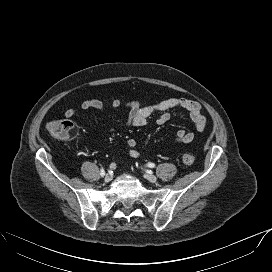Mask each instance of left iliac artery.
<instances>
[{
  "label": "left iliac artery",
  "mask_w": 272,
  "mask_h": 272,
  "mask_svg": "<svg viewBox=\"0 0 272 272\" xmlns=\"http://www.w3.org/2000/svg\"><path fill=\"white\" fill-rule=\"evenodd\" d=\"M147 166L150 167V168H154L155 164L154 163H148Z\"/></svg>",
  "instance_id": "1"
}]
</instances>
